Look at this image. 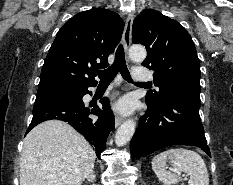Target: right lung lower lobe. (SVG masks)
Instances as JSON below:
<instances>
[{
  "instance_id": "1",
  "label": "right lung lower lobe",
  "mask_w": 233,
  "mask_h": 185,
  "mask_svg": "<svg viewBox=\"0 0 233 185\" xmlns=\"http://www.w3.org/2000/svg\"><path fill=\"white\" fill-rule=\"evenodd\" d=\"M95 85L78 87L67 91H44L36 95L33 107V118L26 134L37 124L51 119H58L68 122L78 132L94 145L96 155L99 156L104 150L106 139L111 130L115 127L113 113L110 109L108 98H103L100 102L103 106L101 110L97 105H85L82 98L85 94H91L88 87ZM98 116V120H93L90 115Z\"/></svg>"
}]
</instances>
